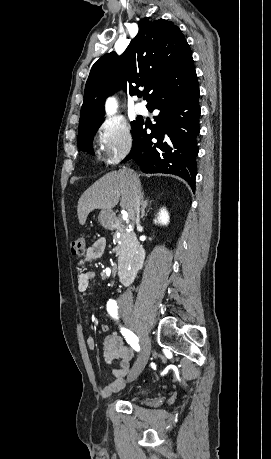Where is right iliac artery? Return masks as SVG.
<instances>
[{
  "mask_svg": "<svg viewBox=\"0 0 271 459\" xmlns=\"http://www.w3.org/2000/svg\"><path fill=\"white\" fill-rule=\"evenodd\" d=\"M117 309H118V306H117L116 301L110 299L107 302V311L115 319H118ZM121 333L124 336V338L126 339L127 343L130 344V346L134 350H136V351L140 350V346H139V343H138V341H139L138 337L132 331H130L129 329H126L124 327H121Z\"/></svg>",
  "mask_w": 271,
  "mask_h": 459,
  "instance_id": "1",
  "label": "right iliac artery"
}]
</instances>
